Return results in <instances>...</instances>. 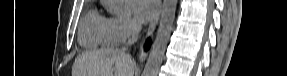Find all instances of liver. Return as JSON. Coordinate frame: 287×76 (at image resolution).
I'll list each match as a JSON object with an SVG mask.
<instances>
[{
	"mask_svg": "<svg viewBox=\"0 0 287 76\" xmlns=\"http://www.w3.org/2000/svg\"><path fill=\"white\" fill-rule=\"evenodd\" d=\"M131 57L117 49H103L76 58L73 76H133Z\"/></svg>",
	"mask_w": 287,
	"mask_h": 76,
	"instance_id": "obj_1",
	"label": "liver"
}]
</instances>
